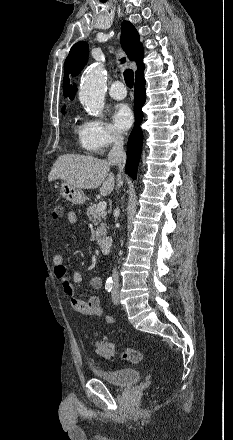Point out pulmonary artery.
I'll return each instance as SVG.
<instances>
[{"mask_svg":"<svg viewBox=\"0 0 233 440\" xmlns=\"http://www.w3.org/2000/svg\"><path fill=\"white\" fill-rule=\"evenodd\" d=\"M109 95L117 100L126 97V89L121 81H114L109 87Z\"/></svg>","mask_w":233,"mask_h":440,"instance_id":"obj_1","label":"pulmonary artery"}]
</instances>
